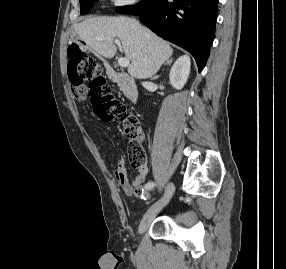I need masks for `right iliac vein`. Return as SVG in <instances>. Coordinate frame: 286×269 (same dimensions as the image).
Listing matches in <instances>:
<instances>
[{
  "mask_svg": "<svg viewBox=\"0 0 286 269\" xmlns=\"http://www.w3.org/2000/svg\"><path fill=\"white\" fill-rule=\"evenodd\" d=\"M173 192H174V185L172 183H170L167 187V190H166L163 198L160 201L154 203L144 214V216L140 222V225L138 227V233L139 234L143 233L148 228V226L150 225V223L154 219V217L167 204V202L171 198Z\"/></svg>",
  "mask_w": 286,
  "mask_h": 269,
  "instance_id": "obj_1",
  "label": "right iliac vein"
}]
</instances>
